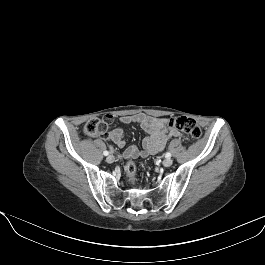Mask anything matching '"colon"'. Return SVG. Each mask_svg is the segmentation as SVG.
<instances>
[{
	"mask_svg": "<svg viewBox=\"0 0 265 265\" xmlns=\"http://www.w3.org/2000/svg\"><path fill=\"white\" fill-rule=\"evenodd\" d=\"M112 123V116L106 115L101 119H92L88 121L84 127V132L89 136L104 135L108 132ZM168 124L176 128L193 139H199L202 136V130L196 121L190 117L178 116L170 119ZM137 166L133 160L127 162L125 171L132 183H135Z\"/></svg>",
	"mask_w": 265,
	"mask_h": 265,
	"instance_id": "colon-1",
	"label": "colon"
}]
</instances>
